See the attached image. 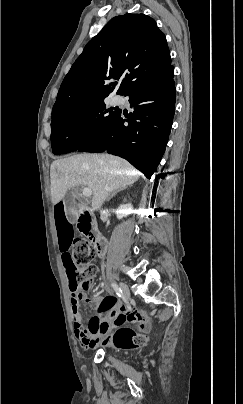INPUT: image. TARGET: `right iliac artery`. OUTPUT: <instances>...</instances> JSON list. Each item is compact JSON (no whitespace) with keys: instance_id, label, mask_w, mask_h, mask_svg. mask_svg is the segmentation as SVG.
I'll return each mask as SVG.
<instances>
[{"instance_id":"82829eb1","label":"right iliac artery","mask_w":243,"mask_h":404,"mask_svg":"<svg viewBox=\"0 0 243 404\" xmlns=\"http://www.w3.org/2000/svg\"><path fill=\"white\" fill-rule=\"evenodd\" d=\"M111 285H112L114 291L116 292V294H117L119 297H122V296H123V293H122L121 288H120L117 284H115V283H112Z\"/></svg>"}]
</instances>
